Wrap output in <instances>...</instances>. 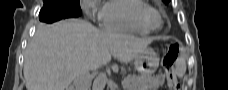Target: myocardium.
Segmentation results:
<instances>
[{"label":"myocardium","mask_w":228,"mask_h":90,"mask_svg":"<svg viewBox=\"0 0 228 90\" xmlns=\"http://www.w3.org/2000/svg\"><path fill=\"white\" fill-rule=\"evenodd\" d=\"M143 21L150 30H158L163 26L161 14L154 7L147 8L143 13Z\"/></svg>","instance_id":"f54148a6"}]
</instances>
